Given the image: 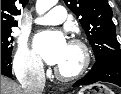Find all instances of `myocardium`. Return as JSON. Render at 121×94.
<instances>
[{"mask_svg": "<svg viewBox=\"0 0 121 94\" xmlns=\"http://www.w3.org/2000/svg\"><path fill=\"white\" fill-rule=\"evenodd\" d=\"M69 45L79 49L81 54V62L77 69L72 72H64L58 67L54 69V73L59 80L73 81L81 78L88 70L91 63V54L88 46L78 38L71 39Z\"/></svg>", "mask_w": 121, "mask_h": 94, "instance_id": "1", "label": "myocardium"}]
</instances>
